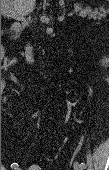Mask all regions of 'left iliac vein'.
I'll list each match as a JSON object with an SVG mask.
<instances>
[{
  "instance_id": "1",
  "label": "left iliac vein",
  "mask_w": 109,
  "mask_h": 170,
  "mask_svg": "<svg viewBox=\"0 0 109 170\" xmlns=\"http://www.w3.org/2000/svg\"><path fill=\"white\" fill-rule=\"evenodd\" d=\"M74 170H84V167L79 162H74Z\"/></svg>"
}]
</instances>
